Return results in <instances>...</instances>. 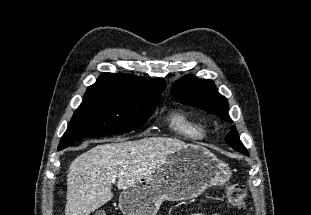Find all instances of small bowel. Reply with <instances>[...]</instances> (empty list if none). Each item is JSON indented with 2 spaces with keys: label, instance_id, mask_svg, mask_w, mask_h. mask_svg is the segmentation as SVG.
<instances>
[{
  "label": "small bowel",
  "instance_id": "small-bowel-1",
  "mask_svg": "<svg viewBox=\"0 0 311 215\" xmlns=\"http://www.w3.org/2000/svg\"><path fill=\"white\" fill-rule=\"evenodd\" d=\"M192 215H220V214H217V213L207 214V213L198 212V213H193Z\"/></svg>",
  "mask_w": 311,
  "mask_h": 215
}]
</instances>
